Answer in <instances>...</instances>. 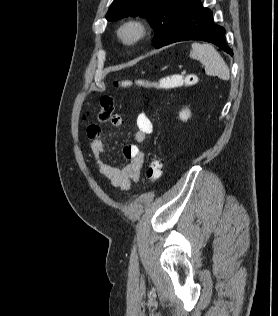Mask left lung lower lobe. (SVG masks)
I'll return each instance as SVG.
<instances>
[{"label": "left lung lower lobe", "mask_w": 278, "mask_h": 316, "mask_svg": "<svg viewBox=\"0 0 278 316\" xmlns=\"http://www.w3.org/2000/svg\"><path fill=\"white\" fill-rule=\"evenodd\" d=\"M186 40L207 41L233 55L225 41V29L214 24L212 12L204 8L200 0H190L173 34L164 46Z\"/></svg>", "instance_id": "0a47b994"}]
</instances>
